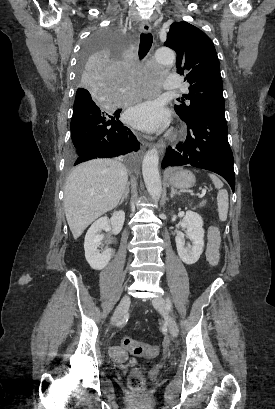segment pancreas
I'll return each mask as SVG.
<instances>
[{
    "mask_svg": "<svg viewBox=\"0 0 275 409\" xmlns=\"http://www.w3.org/2000/svg\"><path fill=\"white\" fill-rule=\"evenodd\" d=\"M206 200H202V202H200V207H203V205H205Z\"/></svg>",
    "mask_w": 275,
    "mask_h": 409,
    "instance_id": "1",
    "label": "pancreas"
}]
</instances>
